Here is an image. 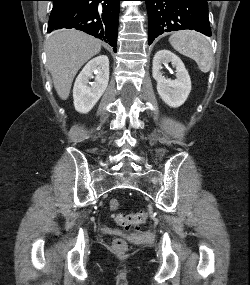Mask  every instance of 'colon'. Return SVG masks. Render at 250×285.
<instances>
[{
  "mask_svg": "<svg viewBox=\"0 0 250 285\" xmlns=\"http://www.w3.org/2000/svg\"><path fill=\"white\" fill-rule=\"evenodd\" d=\"M119 208V201L117 199H111L109 201V209L115 212ZM115 222L125 228L139 227L143 225L147 218V213L145 211L133 212L128 214H114ZM113 248L118 253L126 252L128 244L126 240L122 238H117L113 241Z\"/></svg>",
  "mask_w": 250,
  "mask_h": 285,
  "instance_id": "1",
  "label": "colon"
}]
</instances>
